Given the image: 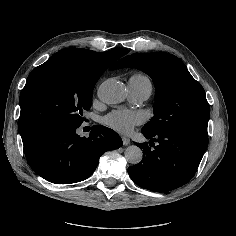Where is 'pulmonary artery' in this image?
<instances>
[{
  "label": "pulmonary artery",
  "instance_id": "pulmonary-artery-1",
  "mask_svg": "<svg viewBox=\"0 0 236 236\" xmlns=\"http://www.w3.org/2000/svg\"><path fill=\"white\" fill-rule=\"evenodd\" d=\"M128 92L130 99L136 104L142 103L150 96L148 90L134 87L130 82L128 83Z\"/></svg>",
  "mask_w": 236,
  "mask_h": 236
}]
</instances>
